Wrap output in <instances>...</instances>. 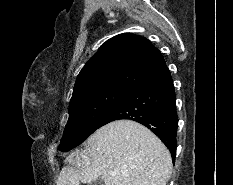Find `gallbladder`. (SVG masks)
I'll return each mask as SVG.
<instances>
[{
	"instance_id": "gallbladder-1",
	"label": "gallbladder",
	"mask_w": 233,
	"mask_h": 185,
	"mask_svg": "<svg viewBox=\"0 0 233 185\" xmlns=\"http://www.w3.org/2000/svg\"><path fill=\"white\" fill-rule=\"evenodd\" d=\"M90 185H104V181L102 178H98L97 180L90 183Z\"/></svg>"
}]
</instances>
